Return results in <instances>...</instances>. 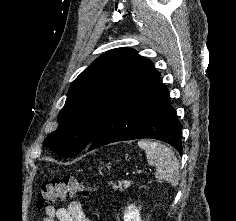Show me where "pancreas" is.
Returning a JSON list of instances; mask_svg holds the SVG:
<instances>
[{
    "label": "pancreas",
    "mask_w": 236,
    "mask_h": 221,
    "mask_svg": "<svg viewBox=\"0 0 236 221\" xmlns=\"http://www.w3.org/2000/svg\"><path fill=\"white\" fill-rule=\"evenodd\" d=\"M118 188L122 191L123 190V187L121 184L118 185Z\"/></svg>",
    "instance_id": "obj_1"
}]
</instances>
